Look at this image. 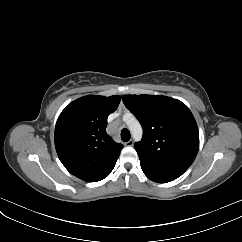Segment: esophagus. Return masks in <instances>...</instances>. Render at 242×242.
Listing matches in <instances>:
<instances>
[{
  "label": "esophagus",
  "instance_id": "obj_1",
  "mask_svg": "<svg viewBox=\"0 0 242 242\" xmlns=\"http://www.w3.org/2000/svg\"><path fill=\"white\" fill-rule=\"evenodd\" d=\"M125 146H132L133 145V140H129L126 143H124Z\"/></svg>",
  "mask_w": 242,
  "mask_h": 242
}]
</instances>
